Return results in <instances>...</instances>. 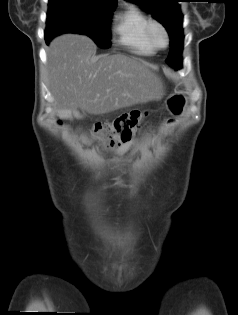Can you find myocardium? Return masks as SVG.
Listing matches in <instances>:
<instances>
[{"label":"myocardium","mask_w":238,"mask_h":315,"mask_svg":"<svg viewBox=\"0 0 238 315\" xmlns=\"http://www.w3.org/2000/svg\"><path fill=\"white\" fill-rule=\"evenodd\" d=\"M158 31L161 33L163 41L158 42L155 38V32ZM147 36L151 44L156 49H163L169 44V34L165 25L159 20H150L147 26Z\"/></svg>","instance_id":"obj_1"}]
</instances>
